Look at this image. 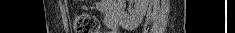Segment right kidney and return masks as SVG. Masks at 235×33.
<instances>
[{
	"label": "right kidney",
	"instance_id": "obj_1",
	"mask_svg": "<svg viewBox=\"0 0 235 33\" xmlns=\"http://www.w3.org/2000/svg\"><path fill=\"white\" fill-rule=\"evenodd\" d=\"M148 2L149 0H135L134 9L128 10V13H120V22L123 23L124 20L128 21L131 18L135 19L136 21H141L146 13Z\"/></svg>",
	"mask_w": 235,
	"mask_h": 33
}]
</instances>
